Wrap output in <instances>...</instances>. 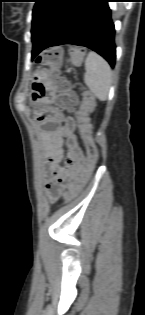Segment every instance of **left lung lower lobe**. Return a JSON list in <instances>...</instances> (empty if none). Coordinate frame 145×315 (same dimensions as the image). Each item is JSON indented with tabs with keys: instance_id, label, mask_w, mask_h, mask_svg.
<instances>
[{
	"instance_id": "1",
	"label": "left lung lower lobe",
	"mask_w": 145,
	"mask_h": 315,
	"mask_svg": "<svg viewBox=\"0 0 145 315\" xmlns=\"http://www.w3.org/2000/svg\"><path fill=\"white\" fill-rule=\"evenodd\" d=\"M108 2L110 0H72L47 35L40 42L32 41V59L45 48L74 44L92 49L114 67L115 28Z\"/></svg>"
}]
</instances>
